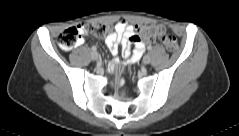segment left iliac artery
<instances>
[{"label": "left iliac artery", "mask_w": 239, "mask_h": 136, "mask_svg": "<svg viewBox=\"0 0 239 136\" xmlns=\"http://www.w3.org/2000/svg\"><path fill=\"white\" fill-rule=\"evenodd\" d=\"M151 48H152L151 46H146V49H147V50H148V49L150 50ZM144 51H145V49H144ZM144 51H143V52H144Z\"/></svg>", "instance_id": "1"}]
</instances>
